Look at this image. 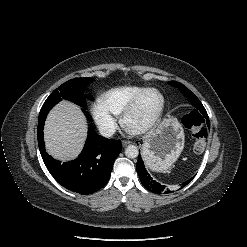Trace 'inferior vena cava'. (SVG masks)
<instances>
[{
	"mask_svg": "<svg viewBox=\"0 0 247 247\" xmlns=\"http://www.w3.org/2000/svg\"><path fill=\"white\" fill-rule=\"evenodd\" d=\"M116 131V128L112 124L102 125L99 127V132L104 137H111Z\"/></svg>",
	"mask_w": 247,
	"mask_h": 247,
	"instance_id": "inferior-vena-cava-1",
	"label": "inferior vena cava"
}]
</instances>
